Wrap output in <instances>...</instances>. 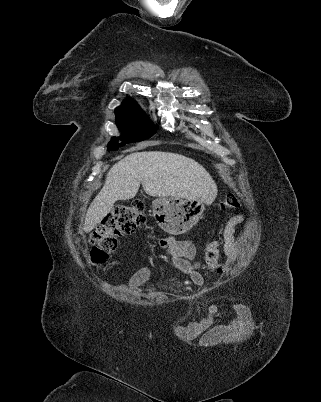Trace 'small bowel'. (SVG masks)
Returning <instances> with one entry per match:
<instances>
[{"mask_svg": "<svg viewBox=\"0 0 321 402\" xmlns=\"http://www.w3.org/2000/svg\"><path fill=\"white\" fill-rule=\"evenodd\" d=\"M245 220L243 214H236L229 218L224 226V239L227 251V256L235 257L238 251V241L235 233L236 228L242 224ZM160 245L165 249L171 265L187 275L195 284L201 285L203 283V277L201 270L203 264L197 260L198 250L196 245L191 240H177L173 237H165L160 240ZM150 269H143L136 272L131 278L128 285H119L120 290H134L140 286L150 273ZM224 271V265L218 266L214 270V274L219 276ZM209 311L216 309L214 302L207 304ZM232 309L235 311L234 320H227L226 323L216 324L213 321H202L200 326H196L194 321H189L188 326L185 328L187 335H197L196 341L200 343L202 347H219L221 345L220 339H225V344L228 347H232L235 341H240V336L251 337V332H245V329H251L254 326L253 321L248 320L251 317L249 312V304L247 302H234ZM207 327L212 330H207ZM228 335H234V339Z\"/></svg>", "mask_w": 321, "mask_h": 402, "instance_id": "c3829d8e", "label": "small bowel"}]
</instances>
